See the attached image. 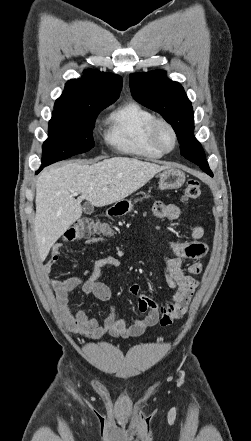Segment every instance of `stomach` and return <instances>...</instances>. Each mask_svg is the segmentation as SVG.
Returning <instances> with one entry per match:
<instances>
[{"instance_id":"0dacf381","label":"stomach","mask_w":251,"mask_h":441,"mask_svg":"<svg viewBox=\"0 0 251 441\" xmlns=\"http://www.w3.org/2000/svg\"><path fill=\"white\" fill-rule=\"evenodd\" d=\"M185 182V173L180 169L170 167L160 174L159 189H178ZM116 215H124L133 210V204L129 200H120L113 206Z\"/></svg>"}]
</instances>
